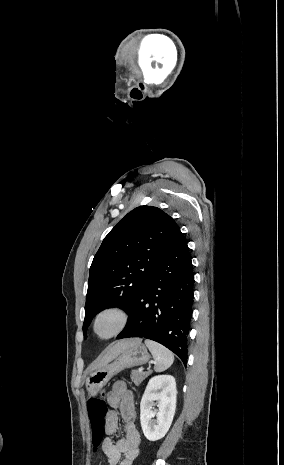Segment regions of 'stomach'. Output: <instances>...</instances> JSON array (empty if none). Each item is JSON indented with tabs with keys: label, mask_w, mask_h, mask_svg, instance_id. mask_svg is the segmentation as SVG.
<instances>
[{
	"label": "stomach",
	"mask_w": 284,
	"mask_h": 465,
	"mask_svg": "<svg viewBox=\"0 0 284 465\" xmlns=\"http://www.w3.org/2000/svg\"><path fill=\"white\" fill-rule=\"evenodd\" d=\"M151 357L144 345L138 343L134 347H129L123 353H120L119 357L110 363V365H104V367H98L93 373H89L86 377L85 387L88 391L89 397H97L99 391L107 385L108 381L124 371V369H130V367H140V365H146L150 361Z\"/></svg>",
	"instance_id": "0dacf381"
}]
</instances>
